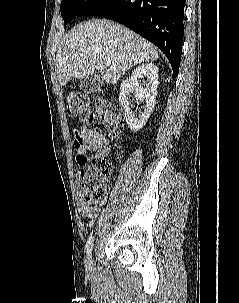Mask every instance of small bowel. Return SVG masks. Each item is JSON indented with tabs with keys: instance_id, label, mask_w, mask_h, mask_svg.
Instances as JSON below:
<instances>
[{
	"instance_id": "1",
	"label": "small bowel",
	"mask_w": 239,
	"mask_h": 303,
	"mask_svg": "<svg viewBox=\"0 0 239 303\" xmlns=\"http://www.w3.org/2000/svg\"><path fill=\"white\" fill-rule=\"evenodd\" d=\"M73 145L76 149V162L80 167L78 177L85 165L95 159L110 155L108 138L103 131L97 128L83 126L76 129L73 136ZM77 207L79 214L89 220H93L99 213L97 207L85 205L81 195L78 196Z\"/></svg>"
}]
</instances>
